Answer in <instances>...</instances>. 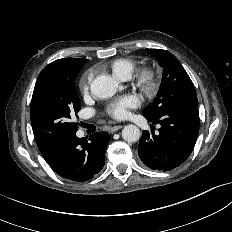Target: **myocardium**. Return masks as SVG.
Returning <instances> with one entry per match:
<instances>
[{"label":"myocardium","mask_w":232,"mask_h":232,"mask_svg":"<svg viewBox=\"0 0 232 232\" xmlns=\"http://www.w3.org/2000/svg\"><path fill=\"white\" fill-rule=\"evenodd\" d=\"M135 86L144 94L151 95L158 88V75L154 68L143 67L134 76Z\"/></svg>","instance_id":"f54148a6"}]
</instances>
